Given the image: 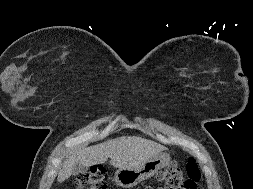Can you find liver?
Here are the masks:
<instances>
[{
	"mask_svg": "<svg viewBox=\"0 0 253 189\" xmlns=\"http://www.w3.org/2000/svg\"><path fill=\"white\" fill-rule=\"evenodd\" d=\"M166 150L161 144L138 136H122L101 144L80 148L70 152L62 163L57 181L64 182L73 174L77 164L87 168L103 164L108 158L119 169L136 168Z\"/></svg>",
	"mask_w": 253,
	"mask_h": 189,
	"instance_id": "obj_1",
	"label": "liver"
}]
</instances>
